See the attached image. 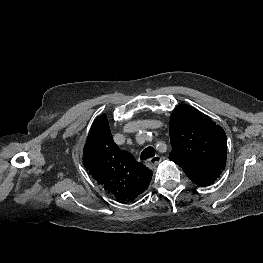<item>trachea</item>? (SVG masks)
Returning a JSON list of instances; mask_svg holds the SVG:
<instances>
[{
  "label": "trachea",
  "mask_w": 263,
  "mask_h": 263,
  "mask_svg": "<svg viewBox=\"0 0 263 263\" xmlns=\"http://www.w3.org/2000/svg\"><path fill=\"white\" fill-rule=\"evenodd\" d=\"M153 156H155L154 148L153 147H147L142 151V153L140 155V159L146 160V159L152 158Z\"/></svg>",
  "instance_id": "obj_1"
}]
</instances>
